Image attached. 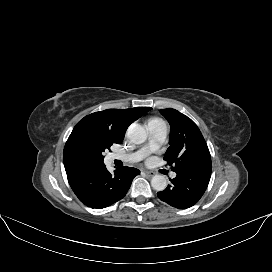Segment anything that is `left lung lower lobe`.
Wrapping results in <instances>:
<instances>
[{
	"label": "left lung lower lobe",
	"mask_w": 272,
	"mask_h": 272,
	"mask_svg": "<svg viewBox=\"0 0 272 272\" xmlns=\"http://www.w3.org/2000/svg\"><path fill=\"white\" fill-rule=\"evenodd\" d=\"M212 168L183 169L177 171V176L170 179L172 185L158 192V198L169 205L186 209L195 205L204 194Z\"/></svg>",
	"instance_id": "1"
}]
</instances>
